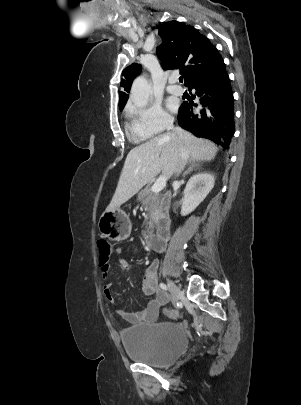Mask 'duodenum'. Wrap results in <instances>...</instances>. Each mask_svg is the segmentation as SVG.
Segmentation results:
<instances>
[{
    "mask_svg": "<svg viewBox=\"0 0 301 405\" xmlns=\"http://www.w3.org/2000/svg\"><path fill=\"white\" fill-rule=\"evenodd\" d=\"M171 195L165 193L160 200V217L157 223L155 233L146 236L147 245L156 252H162L166 248V242L170 234L169 208Z\"/></svg>",
    "mask_w": 301,
    "mask_h": 405,
    "instance_id": "duodenum-1",
    "label": "duodenum"
}]
</instances>
